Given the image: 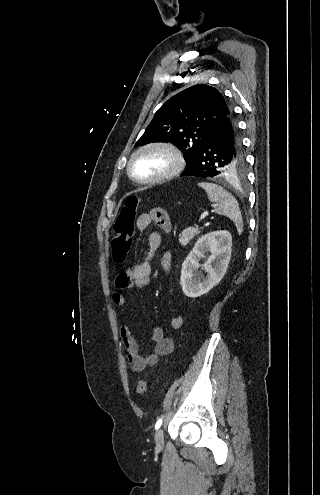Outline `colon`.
I'll use <instances>...</instances> for the list:
<instances>
[{
    "mask_svg": "<svg viewBox=\"0 0 320 495\" xmlns=\"http://www.w3.org/2000/svg\"><path fill=\"white\" fill-rule=\"evenodd\" d=\"M139 205V198L129 196L125 199L115 225L111 239V252L115 262L123 263L130 251L133 242V224ZM148 381L141 379L138 381L136 391L143 395L147 392Z\"/></svg>",
    "mask_w": 320,
    "mask_h": 495,
    "instance_id": "colon-1",
    "label": "colon"
}]
</instances>
